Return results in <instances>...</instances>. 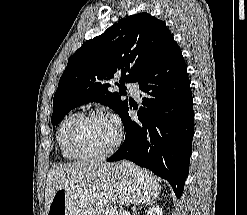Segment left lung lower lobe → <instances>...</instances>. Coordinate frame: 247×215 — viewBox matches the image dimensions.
<instances>
[{"label":"left lung lower lobe","instance_id":"1","mask_svg":"<svg viewBox=\"0 0 247 215\" xmlns=\"http://www.w3.org/2000/svg\"><path fill=\"white\" fill-rule=\"evenodd\" d=\"M142 105L133 121L121 117L125 141L108 162L130 160L168 180L180 198L189 173L194 111L187 66L180 47L170 39L158 60L138 79Z\"/></svg>","mask_w":247,"mask_h":215}]
</instances>
